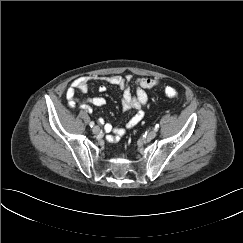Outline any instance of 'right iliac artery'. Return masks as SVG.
<instances>
[{
	"label": "right iliac artery",
	"mask_w": 243,
	"mask_h": 243,
	"mask_svg": "<svg viewBox=\"0 0 243 243\" xmlns=\"http://www.w3.org/2000/svg\"><path fill=\"white\" fill-rule=\"evenodd\" d=\"M90 127L92 128L94 125H95V123L92 121V122H90Z\"/></svg>",
	"instance_id": "1"
}]
</instances>
